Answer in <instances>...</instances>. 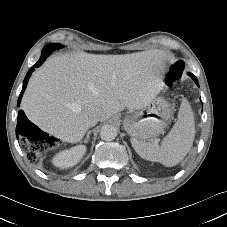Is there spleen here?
Returning <instances> with one entry per match:
<instances>
[{"label":"spleen","instance_id":"obj_1","mask_svg":"<svg viewBox=\"0 0 227 227\" xmlns=\"http://www.w3.org/2000/svg\"><path fill=\"white\" fill-rule=\"evenodd\" d=\"M195 137V121L192 108L187 99H183L178 120L169 134L158 143H147L131 139V144L137 154L149 161L160 162L171 167L178 164L187 155Z\"/></svg>","mask_w":227,"mask_h":227}]
</instances>
